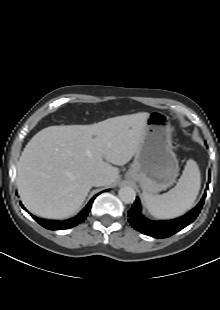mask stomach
Segmentation results:
<instances>
[{
    "mask_svg": "<svg viewBox=\"0 0 220 310\" xmlns=\"http://www.w3.org/2000/svg\"><path fill=\"white\" fill-rule=\"evenodd\" d=\"M169 117L152 112L146 121L144 135L126 179L138 182L143 192L156 194L176 180L179 167L171 142Z\"/></svg>",
    "mask_w": 220,
    "mask_h": 310,
    "instance_id": "obj_1",
    "label": "stomach"
}]
</instances>
